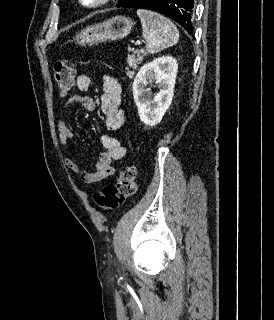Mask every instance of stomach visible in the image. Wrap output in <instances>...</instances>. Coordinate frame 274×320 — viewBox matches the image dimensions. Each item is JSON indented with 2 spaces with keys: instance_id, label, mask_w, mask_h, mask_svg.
<instances>
[{
  "instance_id": "1",
  "label": "stomach",
  "mask_w": 274,
  "mask_h": 320,
  "mask_svg": "<svg viewBox=\"0 0 274 320\" xmlns=\"http://www.w3.org/2000/svg\"><path fill=\"white\" fill-rule=\"evenodd\" d=\"M133 28V22L126 16H114L101 24L87 26L76 34L74 40L78 46H94L101 42H114V40H123L130 34Z\"/></svg>"
}]
</instances>
